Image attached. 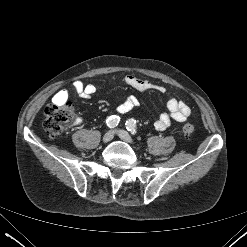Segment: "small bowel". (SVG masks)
Wrapping results in <instances>:
<instances>
[{"instance_id": "1", "label": "small bowel", "mask_w": 247, "mask_h": 247, "mask_svg": "<svg viewBox=\"0 0 247 247\" xmlns=\"http://www.w3.org/2000/svg\"><path fill=\"white\" fill-rule=\"evenodd\" d=\"M124 82L126 85L138 90V91H157L160 93H164L166 88L163 85L154 83L150 80L141 79L134 75H127L124 78ZM73 88L75 92L84 99H88L93 96L97 88L93 84H84L82 81H75L73 83ZM69 97V92L65 89L58 91L53 96V102L55 103H65ZM139 106V100L135 96H129L125 99L121 104L117 107V113L120 115L126 114L132 109ZM167 110L168 112H163L160 114L158 119L155 121L154 126L158 130L167 129L172 121L175 122H184L188 119L191 114L190 107L183 101L170 98L167 101Z\"/></svg>"}]
</instances>
